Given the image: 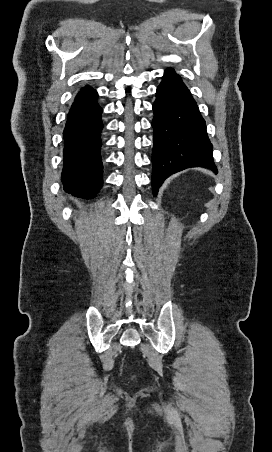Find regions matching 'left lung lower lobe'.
<instances>
[{
  "label": "left lung lower lobe",
  "mask_w": 272,
  "mask_h": 452,
  "mask_svg": "<svg viewBox=\"0 0 272 452\" xmlns=\"http://www.w3.org/2000/svg\"><path fill=\"white\" fill-rule=\"evenodd\" d=\"M152 189L154 196L170 175L189 167L216 171L205 120L190 91L167 69L153 104Z\"/></svg>",
  "instance_id": "obj_1"
}]
</instances>
